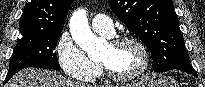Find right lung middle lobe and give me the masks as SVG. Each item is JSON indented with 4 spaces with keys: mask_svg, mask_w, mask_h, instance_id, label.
Returning a JSON list of instances; mask_svg holds the SVG:
<instances>
[{
    "mask_svg": "<svg viewBox=\"0 0 205 87\" xmlns=\"http://www.w3.org/2000/svg\"><path fill=\"white\" fill-rule=\"evenodd\" d=\"M61 31L24 32L13 51L9 71L25 67L60 69L55 48Z\"/></svg>",
    "mask_w": 205,
    "mask_h": 87,
    "instance_id": "1",
    "label": "right lung middle lobe"
}]
</instances>
